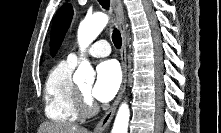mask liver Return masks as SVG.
I'll return each mask as SVG.
<instances>
[{"instance_id": "6515ba94", "label": "liver", "mask_w": 221, "mask_h": 133, "mask_svg": "<svg viewBox=\"0 0 221 133\" xmlns=\"http://www.w3.org/2000/svg\"><path fill=\"white\" fill-rule=\"evenodd\" d=\"M38 133H90V131L77 126L45 122L40 125Z\"/></svg>"}]
</instances>
